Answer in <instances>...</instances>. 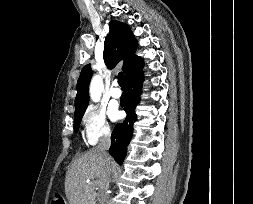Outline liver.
I'll return each mask as SVG.
<instances>
[{
    "instance_id": "liver-1",
    "label": "liver",
    "mask_w": 253,
    "mask_h": 204,
    "mask_svg": "<svg viewBox=\"0 0 253 204\" xmlns=\"http://www.w3.org/2000/svg\"><path fill=\"white\" fill-rule=\"evenodd\" d=\"M109 159L113 163L110 156ZM104 170L105 158L97 148L75 159L68 168L65 179V192L69 204H82L86 180L95 178L101 180Z\"/></svg>"
}]
</instances>
